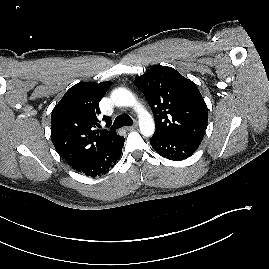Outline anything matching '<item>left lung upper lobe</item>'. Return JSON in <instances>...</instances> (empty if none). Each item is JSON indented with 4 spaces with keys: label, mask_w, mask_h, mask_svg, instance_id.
I'll list each match as a JSON object with an SVG mask.
<instances>
[{
    "label": "left lung upper lobe",
    "mask_w": 269,
    "mask_h": 269,
    "mask_svg": "<svg viewBox=\"0 0 269 269\" xmlns=\"http://www.w3.org/2000/svg\"><path fill=\"white\" fill-rule=\"evenodd\" d=\"M134 84L153 110L154 134L203 138L208 125V109L194 82L171 67L159 65L137 76Z\"/></svg>",
    "instance_id": "5c2ea615"
}]
</instances>
